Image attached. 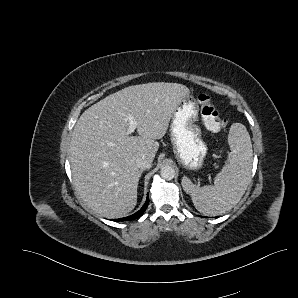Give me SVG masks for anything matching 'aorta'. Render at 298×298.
Segmentation results:
<instances>
[{
    "label": "aorta",
    "instance_id": "1",
    "mask_svg": "<svg viewBox=\"0 0 298 298\" xmlns=\"http://www.w3.org/2000/svg\"><path fill=\"white\" fill-rule=\"evenodd\" d=\"M175 175L176 171L172 166L165 165L160 169V176L167 181L174 179Z\"/></svg>",
    "mask_w": 298,
    "mask_h": 298
}]
</instances>
